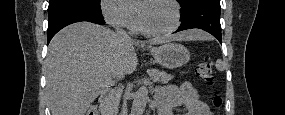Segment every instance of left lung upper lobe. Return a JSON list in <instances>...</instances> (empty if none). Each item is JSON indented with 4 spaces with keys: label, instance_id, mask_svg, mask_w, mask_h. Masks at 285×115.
Listing matches in <instances>:
<instances>
[{
    "label": "left lung upper lobe",
    "instance_id": "5c2ea615",
    "mask_svg": "<svg viewBox=\"0 0 285 115\" xmlns=\"http://www.w3.org/2000/svg\"><path fill=\"white\" fill-rule=\"evenodd\" d=\"M181 6V11L185 10L191 3L196 0H177Z\"/></svg>",
    "mask_w": 285,
    "mask_h": 115
}]
</instances>
